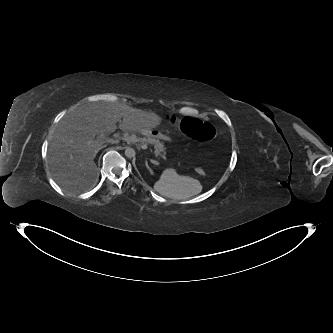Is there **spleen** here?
<instances>
[{"label":"spleen","instance_id":"obj_1","mask_svg":"<svg viewBox=\"0 0 333 333\" xmlns=\"http://www.w3.org/2000/svg\"><path fill=\"white\" fill-rule=\"evenodd\" d=\"M154 190L162 196L182 200L199 194L202 185L197 179L180 176L175 170L166 169L154 183Z\"/></svg>","mask_w":333,"mask_h":333}]
</instances>
